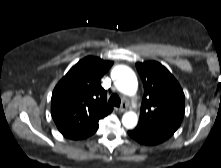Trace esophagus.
<instances>
[{"instance_id":"1","label":"esophagus","mask_w":221,"mask_h":168,"mask_svg":"<svg viewBox=\"0 0 221 168\" xmlns=\"http://www.w3.org/2000/svg\"><path fill=\"white\" fill-rule=\"evenodd\" d=\"M118 112L123 113L127 110V104L126 102H123L120 108L116 109Z\"/></svg>"}]
</instances>
